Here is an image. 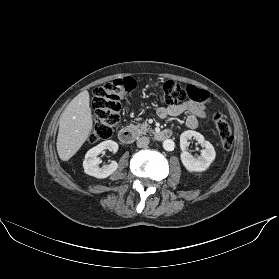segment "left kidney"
<instances>
[{
  "label": "left kidney",
  "mask_w": 279,
  "mask_h": 279,
  "mask_svg": "<svg viewBox=\"0 0 279 279\" xmlns=\"http://www.w3.org/2000/svg\"><path fill=\"white\" fill-rule=\"evenodd\" d=\"M195 139L201 147V155L194 157L186 151L189 144L188 140ZM180 147L182 153L180 155L182 164L190 172H202L205 171L216 157V152L213 145L204 139V136L196 131L187 130L180 135Z\"/></svg>",
  "instance_id": "left-kidney-1"
}]
</instances>
